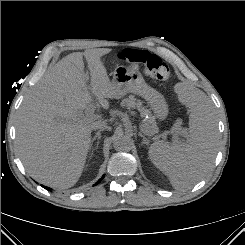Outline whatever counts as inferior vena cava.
<instances>
[{
	"instance_id": "1",
	"label": "inferior vena cava",
	"mask_w": 245,
	"mask_h": 245,
	"mask_svg": "<svg viewBox=\"0 0 245 245\" xmlns=\"http://www.w3.org/2000/svg\"><path fill=\"white\" fill-rule=\"evenodd\" d=\"M93 129H102V130H110L111 128L109 126H107L106 124H101V123H95L93 125Z\"/></svg>"
}]
</instances>
